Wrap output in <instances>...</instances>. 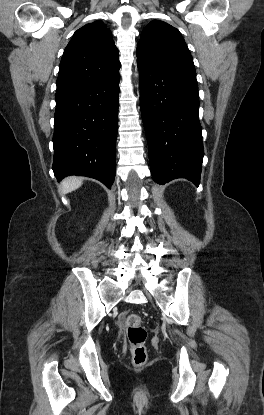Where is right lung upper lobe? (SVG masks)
I'll use <instances>...</instances> for the list:
<instances>
[{
  "instance_id": "1",
  "label": "right lung upper lobe",
  "mask_w": 264,
  "mask_h": 415,
  "mask_svg": "<svg viewBox=\"0 0 264 415\" xmlns=\"http://www.w3.org/2000/svg\"><path fill=\"white\" fill-rule=\"evenodd\" d=\"M120 66L111 31L100 21L89 23L74 33L64 50L56 92L110 79Z\"/></svg>"
}]
</instances>
